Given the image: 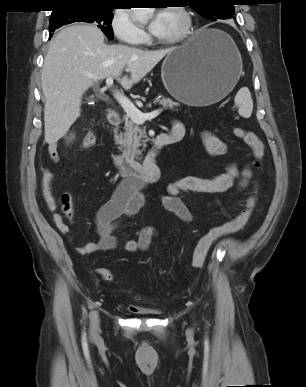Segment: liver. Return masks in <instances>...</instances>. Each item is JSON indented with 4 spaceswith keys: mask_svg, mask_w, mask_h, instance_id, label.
I'll return each mask as SVG.
<instances>
[{
    "mask_svg": "<svg viewBox=\"0 0 306 387\" xmlns=\"http://www.w3.org/2000/svg\"><path fill=\"white\" fill-rule=\"evenodd\" d=\"M174 49L148 51L107 45L102 31L93 25L62 29L50 42L41 74L46 99L45 141L55 144L68 132L80 116L84 92L95 82L113 77L129 90ZM124 69L130 72V78L121 77Z\"/></svg>",
    "mask_w": 306,
    "mask_h": 387,
    "instance_id": "obj_1",
    "label": "liver"
}]
</instances>
